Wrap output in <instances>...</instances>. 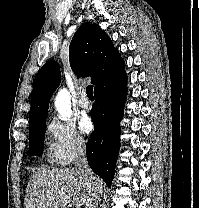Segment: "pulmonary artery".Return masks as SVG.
Here are the masks:
<instances>
[{
    "instance_id": "obj_1",
    "label": "pulmonary artery",
    "mask_w": 199,
    "mask_h": 208,
    "mask_svg": "<svg viewBox=\"0 0 199 208\" xmlns=\"http://www.w3.org/2000/svg\"><path fill=\"white\" fill-rule=\"evenodd\" d=\"M78 103H79V106H80L82 109H88V108H90L91 103H90V101H89V99H88V97H87L86 92H83V93H82V95H81V97H80Z\"/></svg>"
}]
</instances>
